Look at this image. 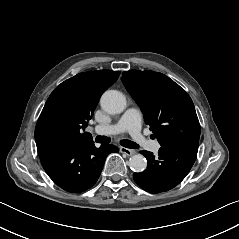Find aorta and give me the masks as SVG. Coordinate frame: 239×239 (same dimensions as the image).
Masks as SVG:
<instances>
[{"label": "aorta", "instance_id": "aorta-1", "mask_svg": "<svg viewBox=\"0 0 239 239\" xmlns=\"http://www.w3.org/2000/svg\"><path fill=\"white\" fill-rule=\"evenodd\" d=\"M101 107L109 114H120L127 107L125 95L117 90L106 91L100 100ZM130 168L132 171L140 173L147 167V161L141 154L131 156Z\"/></svg>", "mask_w": 239, "mask_h": 239}]
</instances>
